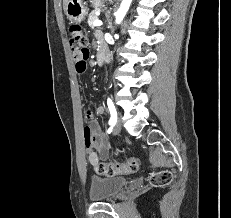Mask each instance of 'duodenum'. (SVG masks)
I'll list each match as a JSON object with an SVG mask.
<instances>
[{"label":"duodenum","instance_id":"410a0bca","mask_svg":"<svg viewBox=\"0 0 231 218\" xmlns=\"http://www.w3.org/2000/svg\"><path fill=\"white\" fill-rule=\"evenodd\" d=\"M109 58V54L105 48H101L98 54V63L102 64L104 61H106Z\"/></svg>","mask_w":231,"mask_h":218}]
</instances>
